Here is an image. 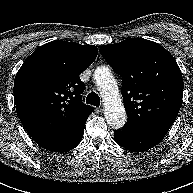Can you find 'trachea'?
<instances>
[{
    "label": "trachea",
    "instance_id": "1",
    "mask_svg": "<svg viewBox=\"0 0 193 193\" xmlns=\"http://www.w3.org/2000/svg\"><path fill=\"white\" fill-rule=\"evenodd\" d=\"M86 103L90 104V105H93V106H96V107H99L100 98H99L98 94L95 93V92L89 93L87 98H86Z\"/></svg>",
    "mask_w": 193,
    "mask_h": 193
}]
</instances>
